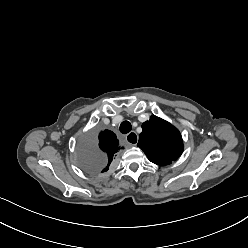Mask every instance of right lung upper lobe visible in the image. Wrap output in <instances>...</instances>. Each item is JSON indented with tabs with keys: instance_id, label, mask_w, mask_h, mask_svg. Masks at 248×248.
Instances as JSON below:
<instances>
[{
	"instance_id": "cb5924a9",
	"label": "right lung upper lobe",
	"mask_w": 248,
	"mask_h": 248,
	"mask_svg": "<svg viewBox=\"0 0 248 248\" xmlns=\"http://www.w3.org/2000/svg\"><path fill=\"white\" fill-rule=\"evenodd\" d=\"M99 147L106 156V165L102 172H106L111 167L116 153L120 149L116 135L110 130H104L99 134Z\"/></svg>"
}]
</instances>
